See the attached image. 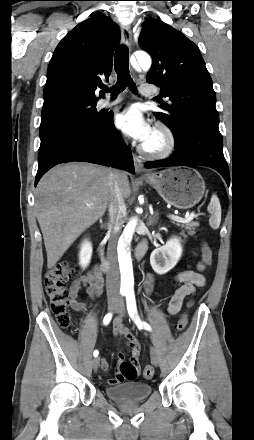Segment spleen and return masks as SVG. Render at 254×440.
Segmentation results:
<instances>
[{
  "instance_id": "spleen-1",
  "label": "spleen",
  "mask_w": 254,
  "mask_h": 440,
  "mask_svg": "<svg viewBox=\"0 0 254 440\" xmlns=\"http://www.w3.org/2000/svg\"><path fill=\"white\" fill-rule=\"evenodd\" d=\"M208 211L211 213V218L209 220L210 226L213 229H218L221 222V206L216 194H213L211 197V201L208 205Z\"/></svg>"
}]
</instances>
